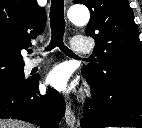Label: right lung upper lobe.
Segmentation results:
<instances>
[{"label":"right lung upper lobe","mask_w":142,"mask_h":128,"mask_svg":"<svg viewBox=\"0 0 142 128\" xmlns=\"http://www.w3.org/2000/svg\"><path fill=\"white\" fill-rule=\"evenodd\" d=\"M46 25V11L36 0H0V68L24 67L21 50Z\"/></svg>","instance_id":"1"}]
</instances>
